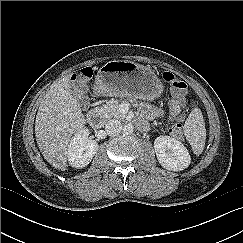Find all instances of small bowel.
Masks as SVG:
<instances>
[{
	"instance_id": "c3829d8e",
	"label": "small bowel",
	"mask_w": 243,
	"mask_h": 243,
	"mask_svg": "<svg viewBox=\"0 0 243 243\" xmlns=\"http://www.w3.org/2000/svg\"><path fill=\"white\" fill-rule=\"evenodd\" d=\"M183 105H184V103L179 104L176 101V99H173L170 103V114L173 116V115H176L179 112H181ZM146 114L150 118H155L160 115V110L155 107L149 106L146 108Z\"/></svg>"
}]
</instances>
